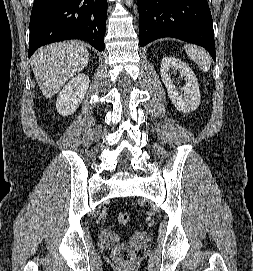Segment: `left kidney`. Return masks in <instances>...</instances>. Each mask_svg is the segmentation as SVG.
<instances>
[{
    "label": "left kidney",
    "instance_id": "1",
    "mask_svg": "<svg viewBox=\"0 0 253 271\" xmlns=\"http://www.w3.org/2000/svg\"><path fill=\"white\" fill-rule=\"evenodd\" d=\"M172 69L178 70L181 77H184L186 84L183 87L177 88L174 80L171 79L170 70ZM160 75L167 88L169 98L180 112L189 113L199 107L201 95L198 81L186 63L175 57H164L161 61Z\"/></svg>",
    "mask_w": 253,
    "mask_h": 271
}]
</instances>
